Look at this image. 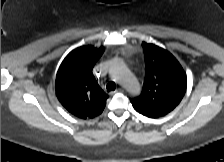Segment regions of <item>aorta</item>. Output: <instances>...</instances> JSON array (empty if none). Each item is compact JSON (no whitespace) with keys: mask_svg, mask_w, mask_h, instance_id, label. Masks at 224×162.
Instances as JSON below:
<instances>
[{"mask_svg":"<svg viewBox=\"0 0 224 162\" xmlns=\"http://www.w3.org/2000/svg\"><path fill=\"white\" fill-rule=\"evenodd\" d=\"M110 75L118 81L129 93L138 95L141 91L137 78L131 73L126 64L119 58H114L109 66Z\"/></svg>","mask_w":224,"mask_h":162,"instance_id":"762f6f07","label":"aorta"}]
</instances>
